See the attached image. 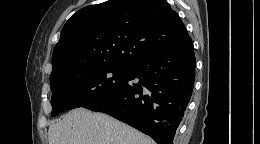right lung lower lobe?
I'll return each mask as SVG.
<instances>
[{"label":"right lung lower lobe","mask_w":260,"mask_h":144,"mask_svg":"<svg viewBox=\"0 0 260 144\" xmlns=\"http://www.w3.org/2000/svg\"><path fill=\"white\" fill-rule=\"evenodd\" d=\"M195 64L193 42L188 36L131 64L118 91L84 108L109 114L158 144H173L192 95ZM135 78L137 81L132 82Z\"/></svg>","instance_id":"1"}]
</instances>
